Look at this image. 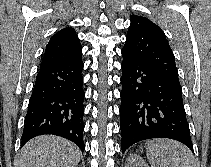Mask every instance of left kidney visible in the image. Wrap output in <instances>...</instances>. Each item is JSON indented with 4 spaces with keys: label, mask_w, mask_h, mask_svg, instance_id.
Instances as JSON below:
<instances>
[{
    "label": "left kidney",
    "mask_w": 211,
    "mask_h": 167,
    "mask_svg": "<svg viewBox=\"0 0 211 167\" xmlns=\"http://www.w3.org/2000/svg\"><path fill=\"white\" fill-rule=\"evenodd\" d=\"M125 167H149L142 158L136 154H131L126 162Z\"/></svg>",
    "instance_id": "left-kidney-1"
}]
</instances>
